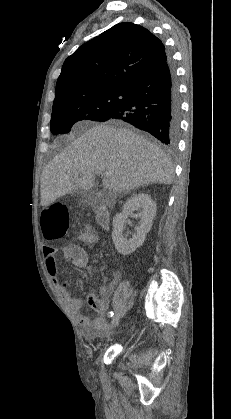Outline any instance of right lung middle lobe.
Listing matches in <instances>:
<instances>
[{"instance_id": "right-lung-middle-lobe-1", "label": "right lung middle lobe", "mask_w": 231, "mask_h": 419, "mask_svg": "<svg viewBox=\"0 0 231 419\" xmlns=\"http://www.w3.org/2000/svg\"><path fill=\"white\" fill-rule=\"evenodd\" d=\"M126 89L105 88L53 103L51 132L68 133L80 120L104 121L124 101Z\"/></svg>"}]
</instances>
